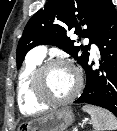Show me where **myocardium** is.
Segmentation results:
<instances>
[{"label": "myocardium", "mask_w": 117, "mask_h": 131, "mask_svg": "<svg viewBox=\"0 0 117 131\" xmlns=\"http://www.w3.org/2000/svg\"><path fill=\"white\" fill-rule=\"evenodd\" d=\"M58 66H65L70 68L75 73L77 79V84L74 91L69 96L62 99H55L50 97L45 89V77L47 72L50 69ZM82 86H83L82 75L75 66H73L68 61L62 59H51L41 63L39 67L35 70L32 79L31 90L34 98L38 102L46 106H60V105L68 104L73 100H75L77 96L80 94L82 90Z\"/></svg>", "instance_id": "1"}]
</instances>
